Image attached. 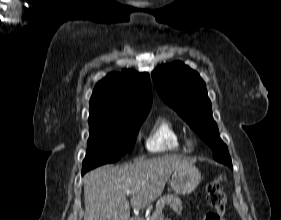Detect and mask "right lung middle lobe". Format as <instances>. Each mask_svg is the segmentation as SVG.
<instances>
[{"label":"right lung middle lobe","instance_id":"1","mask_svg":"<svg viewBox=\"0 0 281 220\" xmlns=\"http://www.w3.org/2000/svg\"><path fill=\"white\" fill-rule=\"evenodd\" d=\"M146 117L141 115L113 121H89L90 137L82 174L131 153Z\"/></svg>","mask_w":281,"mask_h":220}]
</instances>
